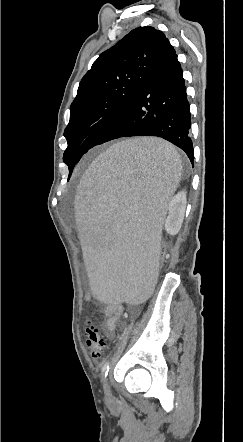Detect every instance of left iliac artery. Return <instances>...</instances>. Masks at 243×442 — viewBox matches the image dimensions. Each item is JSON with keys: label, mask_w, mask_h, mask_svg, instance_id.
Segmentation results:
<instances>
[{"label": "left iliac artery", "mask_w": 243, "mask_h": 442, "mask_svg": "<svg viewBox=\"0 0 243 442\" xmlns=\"http://www.w3.org/2000/svg\"><path fill=\"white\" fill-rule=\"evenodd\" d=\"M109 368H110V363L106 362L102 367V376L103 377H106L108 375Z\"/></svg>", "instance_id": "1"}]
</instances>
